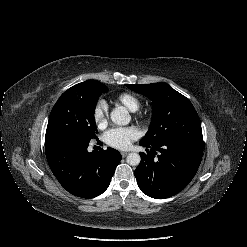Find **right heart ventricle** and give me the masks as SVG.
<instances>
[{
  "label": "right heart ventricle",
  "instance_id": "e07e8e85",
  "mask_svg": "<svg viewBox=\"0 0 247 247\" xmlns=\"http://www.w3.org/2000/svg\"><path fill=\"white\" fill-rule=\"evenodd\" d=\"M115 100L133 112L138 110L140 107L139 98L130 92H123L119 94Z\"/></svg>",
  "mask_w": 247,
  "mask_h": 247
}]
</instances>
